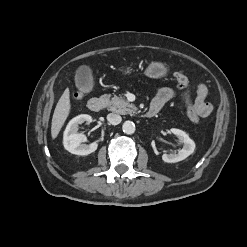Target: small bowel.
Masks as SVG:
<instances>
[{
	"mask_svg": "<svg viewBox=\"0 0 247 247\" xmlns=\"http://www.w3.org/2000/svg\"><path fill=\"white\" fill-rule=\"evenodd\" d=\"M208 89L206 85L200 84L197 87V96L194 103V107L200 111L201 117H206L212 111V104L207 101ZM177 96V91L171 87H163L158 90L155 97L152 99L150 107L159 112L162 107ZM187 99L188 97L185 96Z\"/></svg>",
	"mask_w": 247,
	"mask_h": 247,
	"instance_id": "c3829d8e",
	"label": "small bowel"
}]
</instances>
